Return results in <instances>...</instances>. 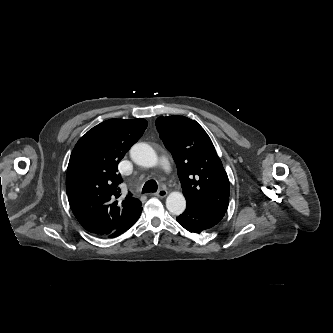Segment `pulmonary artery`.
Returning a JSON list of instances; mask_svg holds the SVG:
<instances>
[{
	"label": "pulmonary artery",
	"mask_w": 333,
	"mask_h": 333,
	"mask_svg": "<svg viewBox=\"0 0 333 333\" xmlns=\"http://www.w3.org/2000/svg\"><path fill=\"white\" fill-rule=\"evenodd\" d=\"M161 162L166 166L168 165V160L166 158H162Z\"/></svg>",
	"instance_id": "e3ab8cb5"
}]
</instances>
